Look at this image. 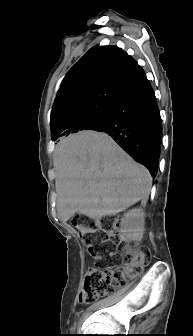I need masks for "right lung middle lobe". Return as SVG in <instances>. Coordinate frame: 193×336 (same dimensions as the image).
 Returning <instances> with one entry per match:
<instances>
[{
	"label": "right lung middle lobe",
	"instance_id": "obj_1",
	"mask_svg": "<svg viewBox=\"0 0 193 336\" xmlns=\"http://www.w3.org/2000/svg\"><path fill=\"white\" fill-rule=\"evenodd\" d=\"M109 111L110 108H104L79 116L74 121V129L76 132L80 130H100L107 120Z\"/></svg>",
	"mask_w": 193,
	"mask_h": 336
}]
</instances>
